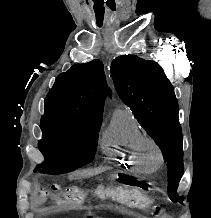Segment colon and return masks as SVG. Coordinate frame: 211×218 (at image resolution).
<instances>
[{
  "instance_id": "colon-1",
  "label": "colon",
  "mask_w": 211,
  "mask_h": 218,
  "mask_svg": "<svg viewBox=\"0 0 211 218\" xmlns=\"http://www.w3.org/2000/svg\"><path fill=\"white\" fill-rule=\"evenodd\" d=\"M46 192L48 196L68 202H80L88 195H92L99 199H111L136 208L150 207L154 203V198L147 189L138 185H100L92 189L76 185L61 189L58 185H52Z\"/></svg>"
}]
</instances>
